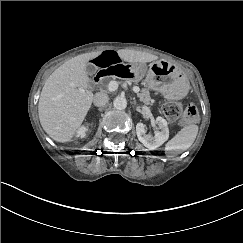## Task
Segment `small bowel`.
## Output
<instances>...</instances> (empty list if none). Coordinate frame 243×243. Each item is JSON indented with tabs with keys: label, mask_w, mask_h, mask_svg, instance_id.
I'll return each instance as SVG.
<instances>
[{
	"label": "small bowel",
	"mask_w": 243,
	"mask_h": 243,
	"mask_svg": "<svg viewBox=\"0 0 243 243\" xmlns=\"http://www.w3.org/2000/svg\"><path fill=\"white\" fill-rule=\"evenodd\" d=\"M91 62L102 69H108L110 67H113V66H116L119 64L127 63V61L123 57V55L115 50L103 51V52L99 53L98 55H96L94 58H92Z\"/></svg>",
	"instance_id": "1"
}]
</instances>
